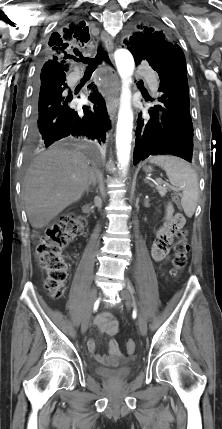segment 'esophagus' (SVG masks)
<instances>
[{
	"label": "esophagus",
	"instance_id": "esophagus-1",
	"mask_svg": "<svg viewBox=\"0 0 222 429\" xmlns=\"http://www.w3.org/2000/svg\"><path fill=\"white\" fill-rule=\"evenodd\" d=\"M101 39L104 43V46L108 52L113 51V40L111 36L106 32H101ZM107 71V81H108V93L106 97L107 111L110 119L113 121L118 107L119 92H120V80L118 73L114 67V64H104Z\"/></svg>",
	"mask_w": 222,
	"mask_h": 429
}]
</instances>
